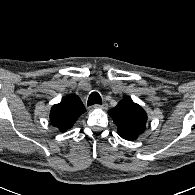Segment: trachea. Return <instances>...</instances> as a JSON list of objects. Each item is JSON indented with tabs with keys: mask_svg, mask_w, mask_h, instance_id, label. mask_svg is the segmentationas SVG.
Instances as JSON below:
<instances>
[{
	"mask_svg": "<svg viewBox=\"0 0 195 195\" xmlns=\"http://www.w3.org/2000/svg\"><path fill=\"white\" fill-rule=\"evenodd\" d=\"M88 106L94 105V104H102L101 96L97 92H92L88 98L87 102Z\"/></svg>",
	"mask_w": 195,
	"mask_h": 195,
	"instance_id": "3493384b",
	"label": "trachea"
}]
</instances>
